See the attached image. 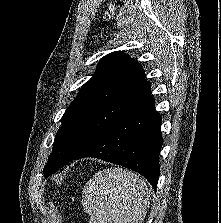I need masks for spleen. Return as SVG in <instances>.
<instances>
[{"mask_svg":"<svg viewBox=\"0 0 221 223\" xmlns=\"http://www.w3.org/2000/svg\"><path fill=\"white\" fill-rule=\"evenodd\" d=\"M89 223H142L150 206L147 183L122 168L98 171L82 192Z\"/></svg>","mask_w":221,"mask_h":223,"instance_id":"obj_1","label":"spleen"}]
</instances>
